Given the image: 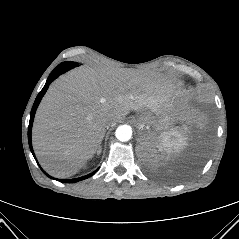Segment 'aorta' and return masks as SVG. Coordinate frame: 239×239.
<instances>
[{
    "instance_id": "obj_1",
    "label": "aorta",
    "mask_w": 239,
    "mask_h": 239,
    "mask_svg": "<svg viewBox=\"0 0 239 239\" xmlns=\"http://www.w3.org/2000/svg\"><path fill=\"white\" fill-rule=\"evenodd\" d=\"M115 136L119 141H129L132 137V129L129 125H121L116 129Z\"/></svg>"
}]
</instances>
